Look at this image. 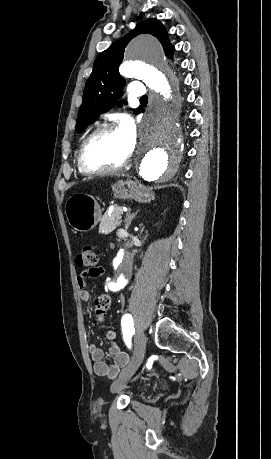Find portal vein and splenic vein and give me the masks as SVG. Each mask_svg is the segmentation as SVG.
<instances>
[{
  "instance_id": "1",
  "label": "portal vein and splenic vein",
  "mask_w": 271,
  "mask_h": 459,
  "mask_svg": "<svg viewBox=\"0 0 271 459\" xmlns=\"http://www.w3.org/2000/svg\"><path fill=\"white\" fill-rule=\"evenodd\" d=\"M121 216H122L121 214H117V217H116V218H117V219H121Z\"/></svg>"
}]
</instances>
